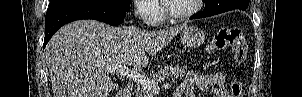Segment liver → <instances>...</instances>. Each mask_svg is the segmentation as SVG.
<instances>
[{
  "label": "liver",
  "instance_id": "liver-1",
  "mask_svg": "<svg viewBox=\"0 0 302 97\" xmlns=\"http://www.w3.org/2000/svg\"><path fill=\"white\" fill-rule=\"evenodd\" d=\"M159 31L132 26L111 27L95 20H79L59 29L45 49L54 97H109L115 83L108 65L139 69L184 28Z\"/></svg>",
  "mask_w": 302,
  "mask_h": 97
}]
</instances>
